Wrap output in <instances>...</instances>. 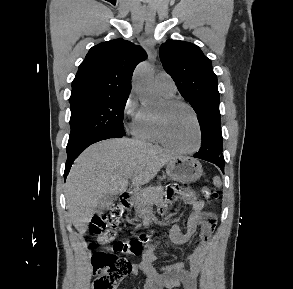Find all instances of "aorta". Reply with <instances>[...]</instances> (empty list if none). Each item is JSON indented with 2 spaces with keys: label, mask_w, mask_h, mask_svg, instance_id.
<instances>
[{
  "label": "aorta",
  "mask_w": 293,
  "mask_h": 289,
  "mask_svg": "<svg viewBox=\"0 0 293 289\" xmlns=\"http://www.w3.org/2000/svg\"><path fill=\"white\" fill-rule=\"evenodd\" d=\"M132 86L139 94L143 105H153L158 102L160 97L153 86V68L149 63H141L136 67Z\"/></svg>",
  "instance_id": "1"
}]
</instances>
